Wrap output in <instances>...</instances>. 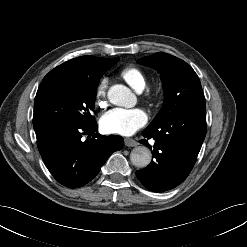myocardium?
Here are the masks:
<instances>
[{
  "mask_svg": "<svg viewBox=\"0 0 247 247\" xmlns=\"http://www.w3.org/2000/svg\"><path fill=\"white\" fill-rule=\"evenodd\" d=\"M161 98V88L159 85L146 88L143 94L144 102L150 106H157Z\"/></svg>",
  "mask_w": 247,
  "mask_h": 247,
  "instance_id": "myocardium-1",
  "label": "myocardium"
}]
</instances>
